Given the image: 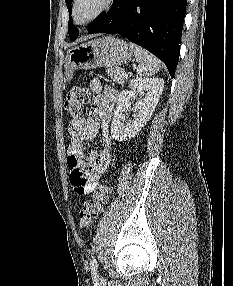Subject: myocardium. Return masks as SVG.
<instances>
[{
  "label": "myocardium",
  "instance_id": "myocardium-1",
  "mask_svg": "<svg viewBox=\"0 0 233 286\" xmlns=\"http://www.w3.org/2000/svg\"><path fill=\"white\" fill-rule=\"evenodd\" d=\"M79 1L80 0H73L72 8H71V19L76 25H87L91 23L92 21L96 20L98 17L103 15L105 12L110 10L115 3V0H104L102 7L95 14H93L91 17H89L88 19L84 21H78L76 19V7Z\"/></svg>",
  "mask_w": 233,
  "mask_h": 286
}]
</instances>
